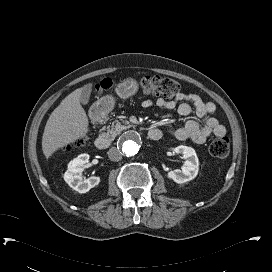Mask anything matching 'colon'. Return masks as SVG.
I'll use <instances>...</instances> for the list:
<instances>
[{"label": "colon", "instance_id": "1", "mask_svg": "<svg viewBox=\"0 0 272 272\" xmlns=\"http://www.w3.org/2000/svg\"><path fill=\"white\" fill-rule=\"evenodd\" d=\"M142 91L151 96L163 97L167 100L174 98L180 90L177 81L171 78H164L155 75H146L139 80ZM113 86V80L110 78L103 79L97 86L99 92H106ZM212 156L224 158L229 154L230 142L225 136H220L212 140L209 146Z\"/></svg>", "mask_w": 272, "mask_h": 272}]
</instances>
